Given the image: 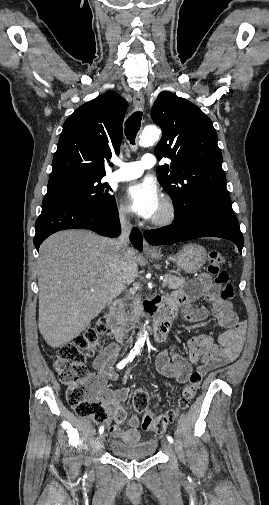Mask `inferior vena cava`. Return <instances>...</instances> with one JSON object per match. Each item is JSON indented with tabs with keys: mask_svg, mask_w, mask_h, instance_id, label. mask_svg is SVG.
<instances>
[{
	"mask_svg": "<svg viewBox=\"0 0 269 505\" xmlns=\"http://www.w3.org/2000/svg\"><path fill=\"white\" fill-rule=\"evenodd\" d=\"M120 224H121V234L117 240V251L120 253H124L125 251L128 250L131 224L129 222V219L123 214L120 215ZM130 340L131 338L127 340V343H129Z\"/></svg>",
	"mask_w": 269,
	"mask_h": 505,
	"instance_id": "obj_1",
	"label": "inferior vena cava"
}]
</instances>
